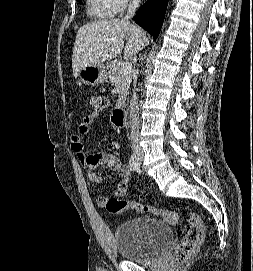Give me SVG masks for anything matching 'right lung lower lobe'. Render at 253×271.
<instances>
[{
  "label": "right lung lower lobe",
  "instance_id": "98d812e1",
  "mask_svg": "<svg viewBox=\"0 0 253 271\" xmlns=\"http://www.w3.org/2000/svg\"><path fill=\"white\" fill-rule=\"evenodd\" d=\"M168 0H148L137 12L135 22L150 33L154 40L163 24Z\"/></svg>",
  "mask_w": 253,
  "mask_h": 271
}]
</instances>
